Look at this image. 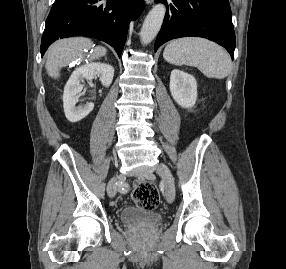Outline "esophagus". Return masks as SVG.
I'll return each instance as SVG.
<instances>
[{"label":"esophagus","mask_w":286,"mask_h":269,"mask_svg":"<svg viewBox=\"0 0 286 269\" xmlns=\"http://www.w3.org/2000/svg\"><path fill=\"white\" fill-rule=\"evenodd\" d=\"M145 2H146L147 4H152V3H153V0H145Z\"/></svg>","instance_id":"1"}]
</instances>
